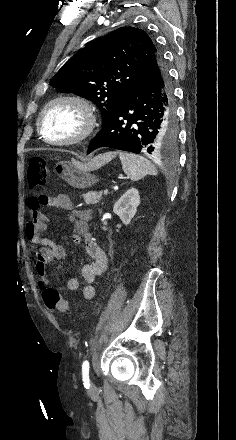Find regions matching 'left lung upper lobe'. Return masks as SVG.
<instances>
[{"label":"left lung upper lobe","instance_id":"5c2ea615","mask_svg":"<svg viewBox=\"0 0 236 440\" xmlns=\"http://www.w3.org/2000/svg\"><path fill=\"white\" fill-rule=\"evenodd\" d=\"M159 55L145 31L119 28L89 42L61 67L50 85L59 92L91 100L100 109L104 125L142 77L151 58Z\"/></svg>","mask_w":236,"mask_h":440}]
</instances>
